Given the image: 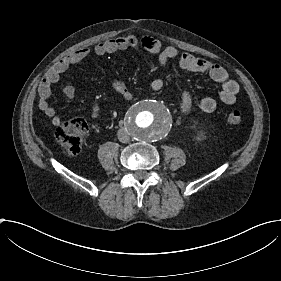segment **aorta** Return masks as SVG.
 Here are the masks:
<instances>
[{
  "mask_svg": "<svg viewBox=\"0 0 281 281\" xmlns=\"http://www.w3.org/2000/svg\"><path fill=\"white\" fill-rule=\"evenodd\" d=\"M125 119L127 131L142 142L162 139L172 126L169 109L156 100L137 102L128 110Z\"/></svg>",
  "mask_w": 281,
  "mask_h": 281,
  "instance_id": "1",
  "label": "aorta"
}]
</instances>
